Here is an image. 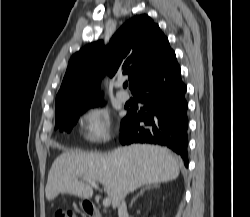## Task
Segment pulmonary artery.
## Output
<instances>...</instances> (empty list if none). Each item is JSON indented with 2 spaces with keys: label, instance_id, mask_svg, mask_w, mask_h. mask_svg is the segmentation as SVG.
I'll use <instances>...</instances> for the list:
<instances>
[{
  "label": "pulmonary artery",
  "instance_id": "pulmonary-artery-1",
  "mask_svg": "<svg viewBox=\"0 0 250 217\" xmlns=\"http://www.w3.org/2000/svg\"><path fill=\"white\" fill-rule=\"evenodd\" d=\"M121 83L117 84V91H116V97L119 101L121 102H127L129 100V95L128 93L122 91L121 89Z\"/></svg>",
  "mask_w": 250,
  "mask_h": 217
}]
</instances>
